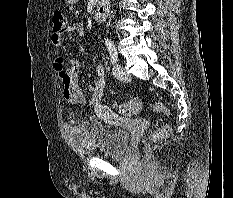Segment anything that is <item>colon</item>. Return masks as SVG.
<instances>
[{"label": "colon", "mask_w": 233, "mask_h": 198, "mask_svg": "<svg viewBox=\"0 0 233 198\" xmlns=\"http://www.w3.org/2000/svg\"><path fill=\"white\" fill-rule=\"evenodd\" d=\"M66 26V20L64 15L59 11L55 10L53 12V31L54 32H60L64 29ZM142 103L139 98L133 97L128 102L119 104L118 109L119 111L124 115H135L141 111ZM154 110L156 112L162 113L165 116H170V111L167 108V106L161 102H157L154 104ZM172 131V127L170 124H163L160 127H158L156 130H154L148 139V142L146 144V148L160 143L164 139H166Z\"/></svg>", "instance_id": "obj_1"}]
</instances>
